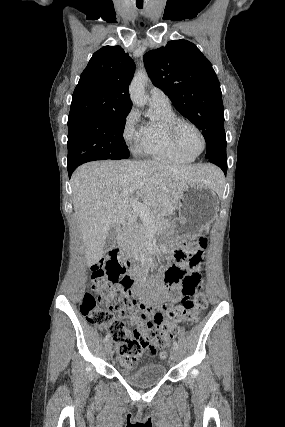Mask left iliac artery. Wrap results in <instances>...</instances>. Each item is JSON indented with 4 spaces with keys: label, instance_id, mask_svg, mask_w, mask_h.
Returning a JSON list of instances; mask_svg holds the SVG:
<instances>
[{
    "label": "left iliac artery",
    "instance_id": "obj_1",
    "mask_svg": "<svg viewBox=\"0 0 285 427\" xmlns=\"http://www.w3.org/2000/svg\"><path fill=\"white\" fill-rule=\"evenodd\" d=\"M173 345H174V347H176L177 349L179 348V345H178V343L174 340L173 341Z\"/></svg>",
    "mask_w": 285,
    "mask_h": 427
}]
</instances>
